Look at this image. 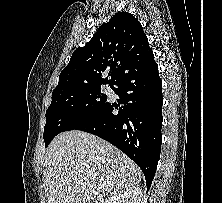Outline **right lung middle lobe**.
I'll list each match as a JSON object with an SVG mask.
<instances>
[{
    "instance_id": "right-lung-middle-lobe-1",
    "label": "right lung middle lobe",
    "mask_w": 222,
    "mask_h": 203,
    "mask_svg": "<svg viewBox=\"0 0 222 203\" xmlns=\"http://www.w3.org/2000/svg\"><path fill=\"white\" fill-rule=\"evenodd\" d=\"M107 101L101 85H84L52 93V102L46 111L44 127L45 147L71 124L85 118Z\"/></svg>"
}]
</instances>
